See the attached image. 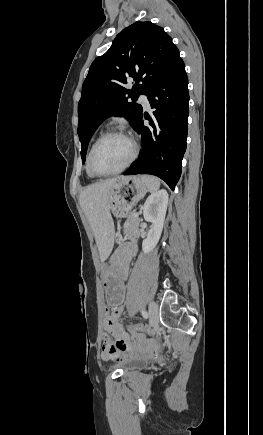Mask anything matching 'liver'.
<instances>
[{"mask_svg":"<svg viewBox=\"0 0 263 435\" xmlns=\"http://www.w3.org/2000/svg\"><path fill=\"white\" fill-rule=\"evenodd\" d=\"M124 177L102 180L87 186L80 194L79 202L94 232L100 259L104 262L113 249L114 223L110 213L109 192Z\"/></svg>","mask_w":263,"mask_h":435,"instance_id":"1","label":"liver"}]
</instances>
